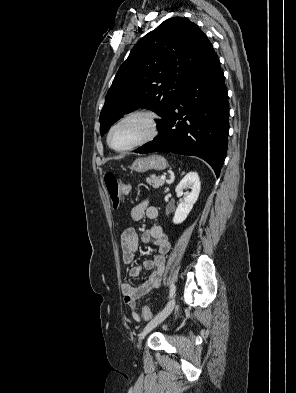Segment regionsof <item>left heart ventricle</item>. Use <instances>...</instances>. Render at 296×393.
Wrapping results in <instances>:
<instances>
[{"label":"left heart ventricle","instance_id":"b2bd125f","mask_svg":"<svg viewBox=\"0 0 296 393\" xmlns=\"http://www.w3.org/2000/svg\"><path fill=\"white\" fill-rule=\"evenodd\" d=\"M149 132V124L140 117L130 118L120 123L111 134V144L114 148L128 147L144 138Z\"/></svg>","mask_w":296,"mask_h":393}]
</instances>
